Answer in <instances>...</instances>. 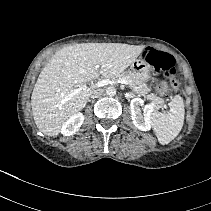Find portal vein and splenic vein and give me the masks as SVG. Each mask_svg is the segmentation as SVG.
<instances>
[{
  "mask_svg": "<svg viewBox=\"0 0 211 211\" xmlns=\"http://www.w3.org/2000/svg\"><path fill=\"white\" fill-rule=\"evenodd\" d=\"M118 83L125 84V85L128 84V82H127L125 79L118 80ZM108 84H111V81L108 80V79H104V80H101V81H99V82L93 84V85H92V88H95V87H96V88H99V87H103V86L108 85ZM86 88H87L86 85L81 86L79 89L76 90V93H77L78 91H80V90H82V89H86Z\"/></svg>",
  "mask_w": 211,
  "mask_h": 211,
  "instance_id": "18ae733b",
  "label": "portal vein and splenic vein"
}]
</instances>
